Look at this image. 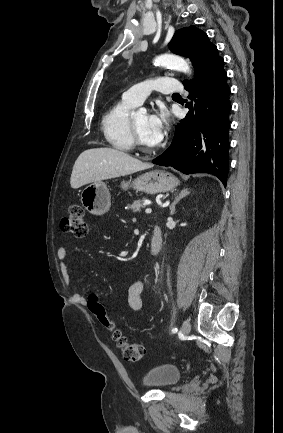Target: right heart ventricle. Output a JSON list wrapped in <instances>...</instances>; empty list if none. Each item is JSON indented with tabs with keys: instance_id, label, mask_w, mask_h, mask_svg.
I'll return each instance as SVG.
<instances>
[{
	"instance_id": "1",
	"label": "right heart ventricle",
	"mask_w": 283,
	"mask_h": 433,
	"mask_svg": "<svg viewBox=\"0 0 283 433\" xmlns=\"http://www.w3.org/2000/svg\"><path fill=\"white\" fill-rule=\"evenodd\" d=\"M133 105L124 98L104 113L101 120V129L105 139L112 147L127 151L134 144L131 130V113Z\"/></svg>"
}]
</instances>
